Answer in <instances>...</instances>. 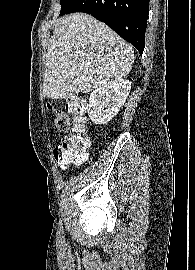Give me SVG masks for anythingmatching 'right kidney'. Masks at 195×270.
I'll return each instance as SVG.
<instances>
[{"label":"right kidney","instance_id":"obj_1","mask_svg":"<svg viewBox=\"0 0 195 270\" xmlns=\"http://www.w3.org/2000/svg\"><path fill=\"white\" fill-rule=\"evenodd\" d=\"M131 90V82L121 79L99 87L89 97L88 114L95 124H107L117 115Z\"/></svg>","mask_w":195,"mask_h":270}]
</instances>
